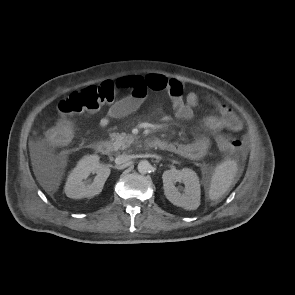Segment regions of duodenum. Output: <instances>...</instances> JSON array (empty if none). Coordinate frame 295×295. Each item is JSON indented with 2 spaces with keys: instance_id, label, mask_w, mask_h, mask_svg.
Returning a JSON list of instances; mask_svg holds the SVG:
<instances>
[{
  "instance_id": "1",
  "label": "duodenum",
  "mask_w": 295,
  "mask_h": 295,
  "mask_svg": "<svg viewBox=\"0 0 295 295\" xmlns=\"http://www.w3.org/2000/svg\"><path fill=\"white\" fill-rule=\"evenodd\" d=\"M147 146L150 148H159L162 149L163 142L162 140L156 139V138H149L146 142ZM93 148L95 151L101 155H108L111 153V145L107 141H96L93 144Z\"/></svg>"
}]
</instances>
